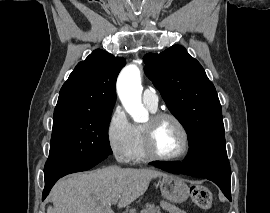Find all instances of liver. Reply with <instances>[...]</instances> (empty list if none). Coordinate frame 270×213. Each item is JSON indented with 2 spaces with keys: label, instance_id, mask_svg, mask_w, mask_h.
<instances>
[{
  "label": "liver",
  "instance_id": "6515ba94",
  "mask_svg": "<svg viewBox=\"0 0 270 213\" xmlns=\"http://www.w3.org/2000/svg\"><path fill=\"white\" fill-rule=\"evenodd\" d=\"M163 173L152 168L115 166L83 174H73L58 181L51 191L52 206L47 213H113L110 206L119 199L123 208L143 195L153 178Z\"/></svg>",
  "mask_w": 270,
  "mask_h": 213
}]
</instances>
